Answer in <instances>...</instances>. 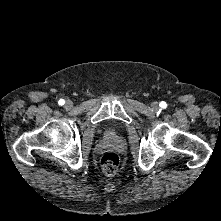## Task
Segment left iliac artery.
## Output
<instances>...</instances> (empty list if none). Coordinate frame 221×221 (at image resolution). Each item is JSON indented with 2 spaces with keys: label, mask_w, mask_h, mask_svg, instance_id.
<instances>
[{
  "label": "left iliac artery",
  "mask_w": 221,
  "mask_h": 221,
  "mask_svg": "<svg viewBox=\"0 0 221 221\" xmlns=\"http://www.w3.org/2000/svg\"><path fill=\"white\" fill-rule=\"evenodd\" d=\"M159 106H160L161 108L165 109V108L167 107V104H166V102L162 101V102L159 104Z\"/></svg>",
  "instance_id": "left-iliac-artery-1"
}]
</instances>
